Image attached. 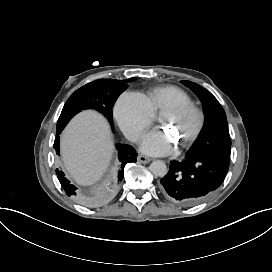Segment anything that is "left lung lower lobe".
<instances>
[{
  "label": "left lung lower lobe",
  "instance_id": "obj_1",
  "mask_svg": "<svg viewBox=\"0 0 272 272\" xmlns=\"http://www.w3.org/2000/svg\"><path fill=\"white\" fill-rule=\"evenodd\" d=\"M229 159L220 155H189L183 162L172 161L160 180L161 193L172 203L191 206L208 196L224 181Z\"/></svg>",
  "mask_w": 272,
  "mask_h": 272
}]
</instances>
